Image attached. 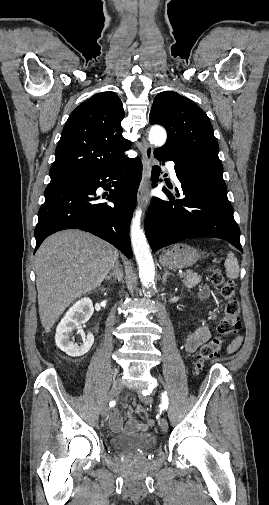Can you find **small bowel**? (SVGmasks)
Wrapping results in <instances>:
<instances>
[{"mask_svg":"<svg viewBox=\"0 0 269 505\" xmlns=\"http://www.w3.org/2000/svg\"><path fill=\"white\" fill-rule=\"evenodd\" d=\"M209 295V288L205 285L202 287L199 298L205 299ZM211 336V330L207 324L198 326L194 332L186 339L184 350L186 353H193L196 349L206 342ZM241 344V337L236 336L229 344L227 351L232 353L236 351ZM110 427L114 432H124L129 435H135L146 431L154 425L152 419H148L143 423H139L132 414L128 413L126 418L121 414L118 408L112 410L110 419Z\"/></svg>","mask_w":269,"mask_h":505,"instance_id":"1","label":"small bowel"}]
</instances>
